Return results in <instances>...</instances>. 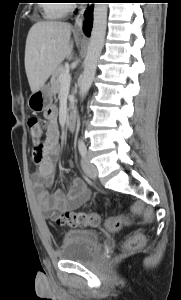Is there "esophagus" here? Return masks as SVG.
Returning a JSON list of instances; mask_svg holds the SVG:
<instances>
[{
	"mask_svg": "<svg viewBox=\"0 0 181 300\" xmlns=\"http://www.w3.org/2000/svg\"><path fill=\"white\" fill-rule=\"evenodd\" d=\"M89 7L90 5H83L79 8L78 13L75 17V23L73 28L75 33H83V24L85 21L84 14Z\"/></svg>",
	"mask_w": 181,
	"mask_h": 300,
	"instance_id": "34e87169",
	"label": "esophagus"
}]
</instances>
